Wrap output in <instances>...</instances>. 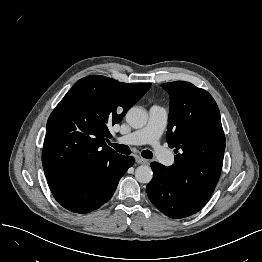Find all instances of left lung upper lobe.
Returning a JSON list of instances; mask_svg holds the SVG:
<instances>
[{
    "label": "left lung upper lobe",
    "instance_id": "obj_1",
    "mask_svg": "<svg viewBox=\"0 0 262 262\" xmlns=\"http://www.w3.org/2000/svg\"><path fill=\"white\" fill-rule=\"evenodd\" d=\"M170 95L167 141L175 148L170 179L204 206L220 177L225 136L219 108L205 90L188 82L161 85Z\"/></svg>",
    "mask_w": 262,
    "mask_h": 262
}]
</instances>
